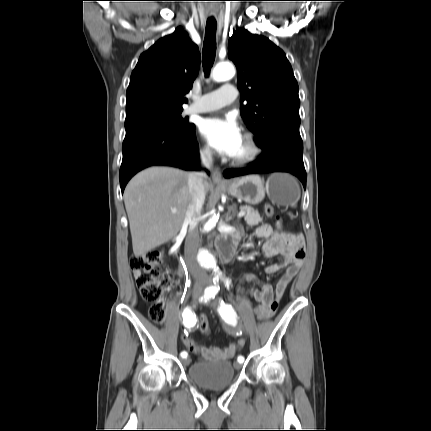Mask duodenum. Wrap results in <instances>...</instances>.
Here are the masks:
<instances>
[{
    "instance_id": "duodenum-1",
    "label": "duodenum",
    "mask_w": 431,
    "mask_h": 431,
    "mask_svg": "<svg viewBox=\"0 0 431 431\" xmlns=\"http://www.w3.org/2000/svg\"><path fill=\"white\" fill-rule=\"evenodd\" d=\"M238 246V236L237 235H228L225 237H222L218 242V249L220 252V255L223 260L228 261L230 260Z\"/></svg>"
}]
</instances>
